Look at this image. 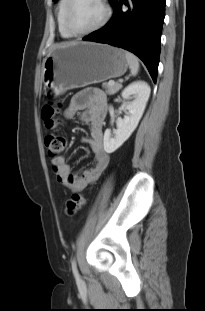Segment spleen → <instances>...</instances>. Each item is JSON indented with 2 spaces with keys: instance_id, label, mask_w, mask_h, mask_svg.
<instances>
[{
  "instance_id": "spleen-1",
  "label": "spleen",
  "mask_w": 205,
  "mask_h": 311,
  "mask_svg": "<svg viewBox=\"0 0 205 311\" xmlns=\"http://www.w3.org/2000/svg\"><path fill=\"white\" fill-rule=\"evenodd\" d=\"M125 56H126L127 62L129 64V67L131 70V75H137V73L139 71L138 58L130 52H125Z\"/></svg>"
}]
</instances>
